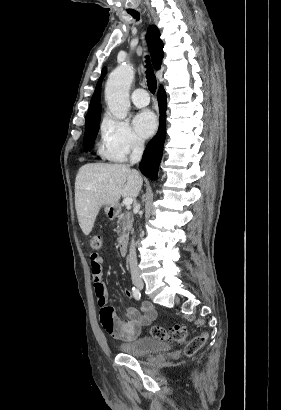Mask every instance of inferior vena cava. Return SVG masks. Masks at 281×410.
I'll return each instance as SVG.
<instances>
[{"instance_id": "inferior-vena-cava-1", "label": "inferior vena cava", "mask_w": 281, "mask_h": 410, "mask_svg": "<svg viewBox=\"0 0 281 410\" xmlns=\"http://www.w3.org/2000/svg\"><path fill=\"white\" fill-rule=\"evenodd\" d=\"M144 151V142L137 140L133 146V152L130 156V164L134 165L141 160L142 154ZM129 264L131 271V278L133 281H140L141 276L137 266L136 250H135V241L132 239L129 250Z\"/></svg>"}]
</instances>
